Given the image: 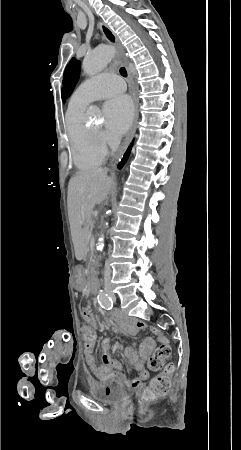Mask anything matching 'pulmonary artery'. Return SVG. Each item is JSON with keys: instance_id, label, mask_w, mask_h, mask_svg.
Instances as JSON below:
<instances>
[{"instance_id": "pulmonary-artery-1", "label": "pulmonary artery", "mask_w": 241, "mask_h": 450, "mask_svg": "<svg viewBox=\"0 0 241 450\" xmlns=\"http://www.w3.org/2000/svg\"><path fill=\"white\" fill-rule=\"evenodd\" d=\"M124 90V79L118 74L101 73L99 76L87 79L74 93L73 99L85 103L106 99L113 102L118 92Z\"/></svg>"}]
</instances>
